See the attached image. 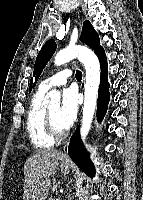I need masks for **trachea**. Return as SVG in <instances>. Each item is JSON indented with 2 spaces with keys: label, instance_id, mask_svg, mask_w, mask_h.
I'll use <instances>...</instances> for the list:
<instances>
[{
  "label": "trachea",
  "instance_id": "trachea-1",
  "mask_svg": "<svg viewBox=\"0 0 143 200\" xmlns=\"http://www.w3.org/2000/svg\"><path fill=\"white\" fill-rule=\"evenodd\" d=\"M75 77H76V79H77L78 81H81V79H82V73H81L80 70H77V71H76Z\"/></svg>",
  "mask_w": 143,
  "mask_h": 200
}]
</instances>
